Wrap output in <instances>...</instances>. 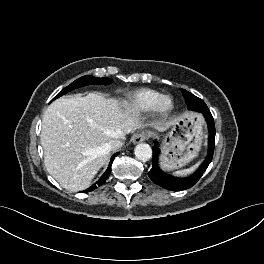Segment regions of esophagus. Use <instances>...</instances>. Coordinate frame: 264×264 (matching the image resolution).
I'll list each match as a JSON object with an SVG mask.
<instances>
[{"label": "esophagus", "instance_id": "1", "mask_svg": "<svg viewBox=\"0 0 264 264\" xmlns=\"http://www.w3.org/2000/svg\"><path fill=\"white\" fill-rule=\"evenodd\" d=\"M148 138V134L145 132L137 133L133 136V143L138 144L145 141Z\"/></svg>", "mask_w": 264, "mask_h": 264}]
</instances>
